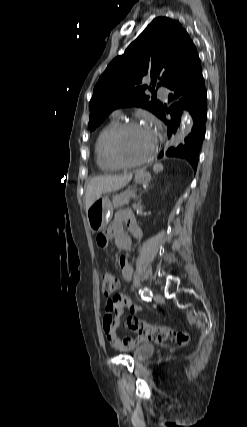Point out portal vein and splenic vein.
I'll list each match as a JSON object with an SVG mask.
<instances>
[{
	"instance_id": "portal-vein-and-splenic-vein-1",
	"label": "portal vein and splenic vein",
	"mask_w": 247,
	"mask_h": 427,
	"mask_svg": "<svg viewBox=\"0 0 247 427\" xmlns=\"http://www.w3.org/2000/svg\"><path fill=\"white\" fill-rule=\"evenodd\" d=\"M132 197H135V192L133 193Z\"/></svg>"
}]
</instances>
